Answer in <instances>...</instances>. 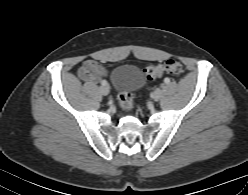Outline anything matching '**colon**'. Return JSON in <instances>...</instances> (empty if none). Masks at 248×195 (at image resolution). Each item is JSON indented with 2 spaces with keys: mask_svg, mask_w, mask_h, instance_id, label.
Masks as SVG:
<instances>
[{
  "mask_svg": "<svg viewBox=\"0 0 248 195\" xmlns=\"http://www.w3.org/2000/svg\"><path fill=\"white\" fill-rule=\"evenodd\" d=\"M184 65L177 60H168L163 64H150L147 65L143 74L146 79L153 80L163 76L164 74H170L179 76L184 72ZM118 101L122 109L129 111L134 107V98L131 92L122 91L118 95Z\"/></svg>",
  "mask_w": 248,
  "mask_h": 195,
  "instance_id": "1",
  "label": "colon"
}]
</instances>
